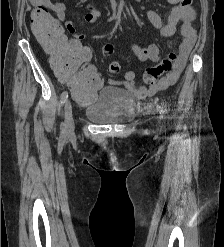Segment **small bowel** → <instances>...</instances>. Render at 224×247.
<instances>
[{"label": "small bowel", "mask_w": 224, "mask_h": 247, "mask_svg": "<svg viewBox=\"0 0 224 247\" xmlns=\"http://www.w3.org/2000/svg\"><path fill=\"white\" fill-rule=\"evenodd\" d=\"M32 5L36 7L51 8L57 15L58 20L64 22L68 32L73 36L72 40L80 42L85 38V34L78 33L73 24L66 19L67 9L62 2H50V0H30ZM173 5L166 22L164 23L158 13L153 10H148L146 15L150 23L159 30L162 37L168 38L176 33V28L181 23V34L184 37L180 45V52L173 64L172 69L161 79L155 81L148 87L138 86L135 82V73L127 71L124 74L122 84L125 89L136 97L151 96L159 91L165 90L173 85L181 71L183 70L188 55L193 48L196 40L197 32L193 26L195 20V11L191 6L192 0H166ZM101 17V12L96 9H90L85 15V21L89 24L97 21ZM131 48L137 58L141 61L157 62L161 59L159 47L154 43L141 45L137 42L131 44Z\"/></svg>", "instance_id": "obj_1"}]
</instances>
